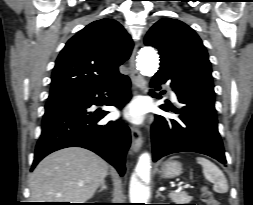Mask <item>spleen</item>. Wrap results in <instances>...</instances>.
Returning <instances> with one entry per match:
<instances>
[{
    "instance_id": "3e777b00",
    "label": "spleen",
    "mask_w": 253,
    "mask_h": 205,
    "mask_svg": "<svg viewBox=\"0 0 253 205\" xmlns=\"http://www.w3.org/2000/svg\"><path fill=\"white\" fill-rule=\"evenodd\" d=\"M196 161L202 166L204 177L214 184L213 190L218 193H226L228 191L227 180L218 166L203 157H197Z\"/></svg>"
}]
</instances>
